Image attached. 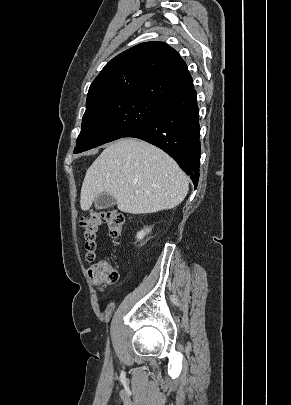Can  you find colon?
<instances>
[{
    "instance_id": "colon-1",
    "label": "colon",
    "mask_w": 291,
    "mask_h": 405,
    "mask_svg": "<svg viewBox=\"0 0 291 405\" xmlns=\"http://www.w3.org/2000/svg\"><path fill=\"white\" fill-rule=\"evenodd\" d=\"M82 236L86 259L93 262L96 257L97 235L101 226L105 225L111 237H118L123 229L124 217L116 210L94 211L81 219ZM92 282L99 286L114 284L118 280V273L109 260L95 262L89 269Z\"/></svg>"
}]
</instances>
